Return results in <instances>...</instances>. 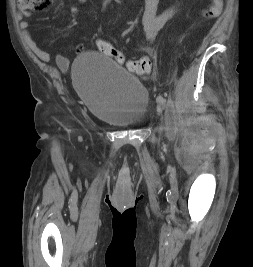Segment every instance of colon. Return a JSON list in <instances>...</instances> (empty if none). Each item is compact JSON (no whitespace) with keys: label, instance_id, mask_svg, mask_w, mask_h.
I'll use <instances>...</instances> for the list:
<instances>
[{"label":"colon","instance_id":"5ec220e1","mask_svg":"<svg viewBox=\"0 0 253 267\" xmlns=\"http://www.w3.org/2000/svg\"><path fill=\"white\" fill-rule=\"evenodd\" d=\"M53 0H17L18 6L25 10L39 11L51 5ZM222 0H212L205 15L208 18H215L221 13ZM97 47L103 54L115 59L119 63L124 62L123 55L109 42L100 40ZM129 71L136 74H146L151 69V60L148 56H141L126 63Z\"/></svg>","mask_w":253,"mask_h":267}]
</instances>
